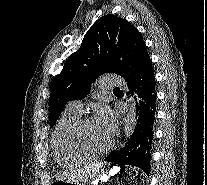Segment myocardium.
I'll return each mask as SVG.
<instances>
[{
    "instance_id": "1",
    "label": "myocardium",
    "mask_w": 207,
    "mask_h": 185,
    "mask_svg": "<svg viewBox=\"0 0 207 185\" xmlns=\"http://www.w3.org/2000/svg\"><path fill=\"white\" fill-rule=\"evenodd\" d=\"M91 120H93L92 117H84L76 123V125L73 129V132H72L73 142L79 150H81L82 152H84L92 157L106 155L114 147L115 137L114 136L111 137V140H110L108 146L103 150H94V149L90 148L89 145L85 142V140L83 138V130H84L85 125L88 122H90Z\"/></svg>"
}]
</instances>
